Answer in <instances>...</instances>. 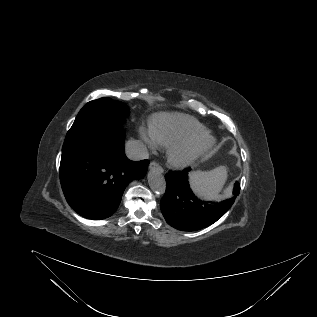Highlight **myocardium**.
Instances as JSON below:
<instances>
[{
  "label": "myocardium",
  "mask_w": 317,
  "mask_h": 317,
  "mask_svg": "<svg viewBox=\"0 0 317 317\" xmlns=\"http://www.w3.org/2000/svg\"><path fill=\"white\" fill-rule=\"evenodd\" d=\"M215 142V138L206 132L188 137L169 148L167 160L174 168H187L208 153Z\"/></svg>",
  "instance_id": "obj_1"
}]
</instances>
